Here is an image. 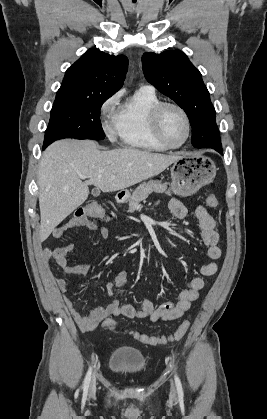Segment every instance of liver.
<instances>
[{"label":"liver","instance_id":"1","mask_svg":"<svg viewBox=\"0 0 267 419\" xmlns=\"http://www.w3.org/2000/svg\"><path fill=\"white\" fill-rule=\"evenodd\" d=\"M180 157L135 148L100 151L92 140L52 143L38 168L41 241L87 200L89 185L105 193L124 190L158 175ZM80 175L88 180L83 182Z\"/></svg>","mask_w":267,"mask_h":419}]
</instances>
